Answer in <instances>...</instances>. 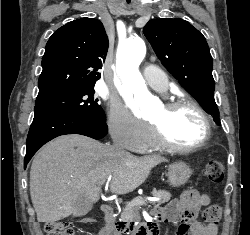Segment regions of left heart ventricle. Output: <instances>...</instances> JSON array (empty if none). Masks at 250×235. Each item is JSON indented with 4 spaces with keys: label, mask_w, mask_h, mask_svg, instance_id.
Returning a JSON list of instances; mask_svg holds the SVG:
<instances>
[{
    "label": "left heart ventricle",
    "mask_w": 250,
    "mask_h": 235,
    "mask_svg": "<svg viewBox=\"0 0 250 235\" xmlns=\"http://www.w3.org/2000/svg\"><path fill=\"white\" fill-rule=\"evenodd\" d=\"M148 120L162 125L167 138L177 145L195 144L203 136L202 119L191 107H182L170 114L161 107Z\"/></svg>",
    "instance_id": "1"
}]
</instances>
